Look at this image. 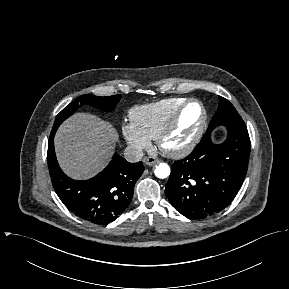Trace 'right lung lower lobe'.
<instances>
[{
	"label": "right lung lower lobe",
	"mask_w": 289,
	"mask_h": 289,
	"mask_svg": "<svg viewBox=\"0 0 289 289\" xmlns=\"http://www.w3.org/2000/svg\"><path fill=\"white\" fill-rule=\"evenodd\" d=\"M48 142V167L55 192L76 216L96 224L114 221L130 203L136 180L142 175V162L129 163L114 154L109 165L95 177L76 181L66 176L58 165L54 136Z\"/></svg>",
	"instance_id": "98d812e1"
}]
</instances>
